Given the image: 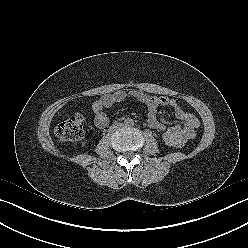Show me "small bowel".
I'll return each mask as SVG.
<instances>
[{"label":"small bowel","mask_w":248,"mask_h":248,"mask_svg":"<svg viewBox=\"0 0 248 248\" xmlns=\"http://www.w3.org/2000/svg\"><path fill=\"white\" fill-rule=\"evenodd\" d=\"M134 99L144 103L147 107V122L150 128L158 132H171L176 134L185 144L193 139L196 135V129L199 127V120L192 113L184 110L176 100L164 96H154L146 94L142 91L117 90L112 93L102 95L92 104L94 112V124L102 129L109 123V118L105 109L112 105L122 102L126 99ZM160 106L169 107L173 110L176 119L182 121L181 125L166 126L157 117V110Z\"/></svg>","instance_id":"obj_1"}]
</instances>
